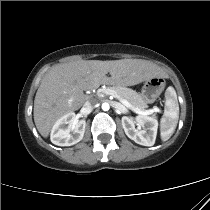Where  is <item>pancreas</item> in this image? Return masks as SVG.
<instances>
[{
  "instance_id": "cf45deb5",
  "label": "pancreas",
  "mask_w": 210,
  "mask_h": 210,
  "mask_svg": "<svg viewBox=\"0 0 210 210\" xmlns=\"http://www.w3.org/2000/svg\"><path fill=\"white\" fill-rule=\"evenodd\" d=\"M105 90H113L117 95L127 100L134 108L140 111H145V108H147V103L142 99V96L130 88L115 85L108 87Z\"/></svg>"
}]
</instances>
